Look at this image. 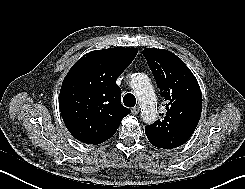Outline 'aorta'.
Returning a JSON list of instances; mask_svg holds the SVG:
<instances>
[{
	"label": "aorta",
	"instance_id": "aorta-1",
	"mask_svg": "<svg viewBox=\"0 0 245 189\" xmlns=\"http://www.w3.org/2000/svg\"><path fill=\"white\" fill-rule=\"evenodd\" d=\"M130 85L140 103L142 120L151 124L157 117L156 95L147 75L135 73Z\"/></svg>",
	"mask_w": 245,
	"mask_h": 189
}]
</instances>
